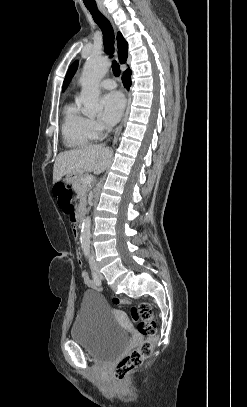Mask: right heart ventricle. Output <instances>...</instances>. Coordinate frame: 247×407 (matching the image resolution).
Segmentation results:
<instances>
[{"label": "right heart ventricle", "mask_w": 247, "mask_h": 407, "mask_svg": "<svg viewBox=\"0 0 247 407\" xmlns=\"http://www.w3.org/2000/svg\"><path fill=\"white\" fill-rule=\"evenodd\" d=\"M61 130L64 143L70 148L85 147L95 139L90 127V119L84 116L73 103L64 107Z\"/></svg>", "instance_id": "right-heart-ventricle-1"}]
</instances>
